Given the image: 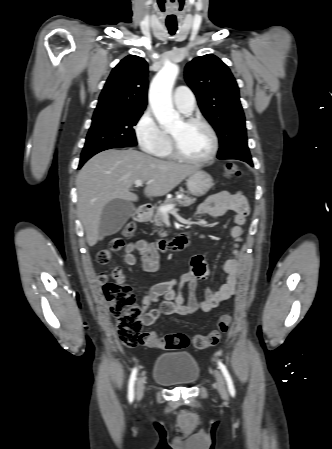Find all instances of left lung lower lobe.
I'll use <instances>...</instances> for the list:
<instances>
[{
    "label": "left lung lower lobe",
    "instance_id": "left-lung-lower-lobe-1",
    "mask_svg": "<svg viewBox=\"0 0 332 449\" xmlns=\"http://www.w3.org/2000/svg\"><path fill=\"white\" fill-rule=\"evenodd\" d=\"M243 161L253 166L252 159H244Z\"/></svg>",
    "mask_w": 332,
    "mask_h": 449
}]
</instances>
